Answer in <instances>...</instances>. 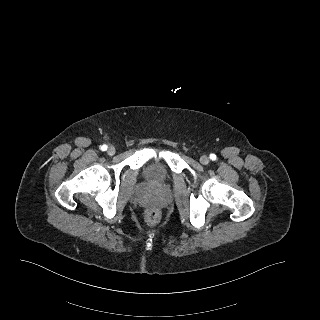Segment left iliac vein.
<instances>
[{
	"label": "left iliac vein",
	"mask_w": 320,
	"mask_h": 320,
	"mask_svg": "<svg viewBox=\"0 0 320 320\" xmlns=\"http://www.w3.org/2000/svg\"><path fill=\"white\" fill-rule=\"evenodd\" d=\"M209 158L206 156V155H202L201 157H200V162L202 163V164H204V165H207L208 163H209Z\"/></svg>",
	"instance_id": "left-iliac-vein-1"
}]
</instances>
